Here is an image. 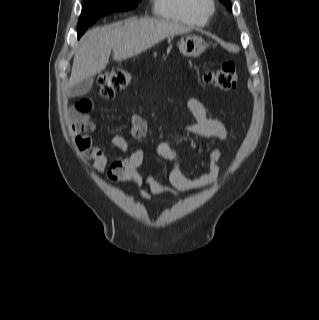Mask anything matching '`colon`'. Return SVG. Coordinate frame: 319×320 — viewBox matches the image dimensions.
<instances>
[{"mask_svg":"<svg viewBox=\"0 0 319 320\" xmlns=\"http://www.w3.org/2000/svg\"><path fill=\"white\" fill-rule=\"evenodd\" d=\"M205 84L221 90H231L238 83V74L234 62L225 59L218 68L208 69L202 75ZM132 81L131 72L125 67H116L104 75L100 83V94L105 99L113 98L114 95L124 90ZM120 162H115L110 167V172L121 169ZM117 180V176L114 177Z\"/></svg>","mask_w":319,"mask_h":320,"instance_id":"5ec220e1","label":"colon"}]
</instances>
